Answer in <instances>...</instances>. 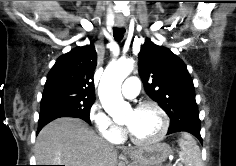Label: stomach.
<instances>
[{"label":"stomach","mask_w":236,"mask_h":166,"mask_svg":"<svg viewBox=\"0 0 236 166\" xmlns=\"http://www.w3.org/2000/svg\"><path fill=\"white\" fill-rule=\"evenodd\" d=\"M171 153L168 144L157 143L132 152L130 157L135 161V166H162Z\"/></svg>","instance_id":"obj_1"}]
</instances>
